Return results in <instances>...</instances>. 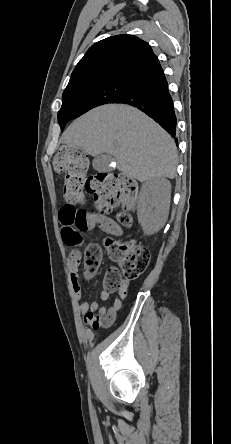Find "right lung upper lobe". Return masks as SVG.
I'll return each instance as SVG.
<instances>
[{
  "label": "right lung upper lobe",
  "instance_id": "cb5924a9",
  "mask_svg": "<svg viewBox=\"0 0 231 444\" xmlns=\"http://www.w3.org/2000/svg\"><path fill=\"white\" fill-rule=\"evenodd\" d=\"M163 69L150 45L133 35H118L92 45L72 72L65 90L104 83L135 86L162 75Z\"/></svg>",
  "mask_w": 231,
  "mask_h": 444
}]
</instances>
